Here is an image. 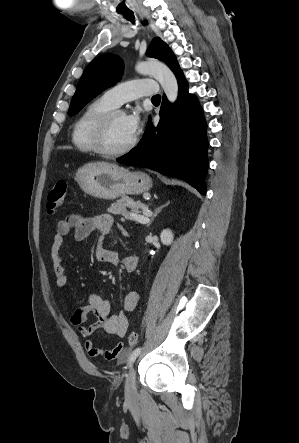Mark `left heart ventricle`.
Returning <instances> with one entry per match:
<instances>
[{
	"instance_id": "obj_1",
	"label": "left heart ventricle",
	"mask_w": 299,
	"mask_h": 443,
	"mask_svg": "<svg viewBox=\"0 0 299 443\" xmlns=\"http://www.w3.org/2000/svg\"><path fill=\"white\" fill-rule=\"evenodd\" d=\"M134 135L127 125L126 115H118L110 125L106 145L110 150H119L125 147Z\"/></svg>"
}]
</instances>
